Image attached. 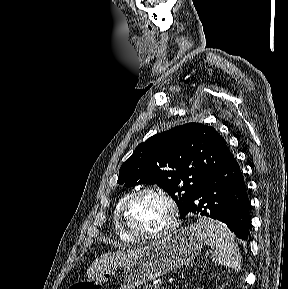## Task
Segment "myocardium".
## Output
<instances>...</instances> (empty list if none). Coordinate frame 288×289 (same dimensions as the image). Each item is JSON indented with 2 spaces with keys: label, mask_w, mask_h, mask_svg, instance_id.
I'll list each match as a JSON object with an SVG mask.
<instances>
[{
  "label": "myocardium",
  "mask_w": 288,
  "mask_h": 289,
  "mask_svg": "<svg viewBox=\"0 0 288 289\" xmlns=\"http://www.w3.org/2000/svg\"><path fill=\"white\" fill-rule=\"evenodd\" d=\"M149 194L161 198L169 209V221L162 229L150 232L142 233L132 229L126 222V212L132 203L142 195ZM118 221L122 230L131 238L136 240H156L170 235L176 230L179 223V208L176 201L165 191L156 189L153 187H144L131 193L126 200L122 203L118 211Z\"/></svg>",
  "instance_id": "myocardium-1"
}]
</instances>
